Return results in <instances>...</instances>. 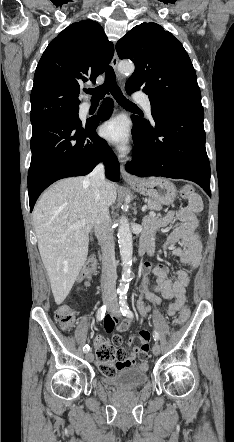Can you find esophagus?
<instances>
[{
	"mask_svg": "<svg viewBox=\"0 0 234 442\" xmlns=\"http://www.w3.org/2000/svg\"><path fill=\"white\" fill-rule=\"evenodd\" d=\"M118 61H119L118 55H117V52L115 50L113 58L111 60V65L114 68V70L116 71L117 80L119 82H121V76H120V74L117 71ZM121 176H122L123 180H125L127 182H137L138 181V179L135 176H133L132 174H130L127 171V169L125 167V164L123 162L121 163Z\"/></svg>",
	"mask_w": 234,
	"mask_h": 442,
	"instance_id": "1",
	"label": "esophagus"
}]
</instances>
